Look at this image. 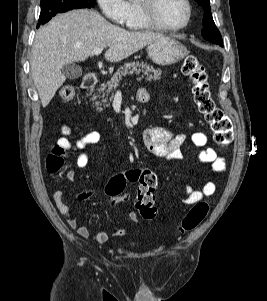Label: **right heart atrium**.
I'll use <instances>...</instances> for the list:
<instances>
[{
	"label": "right heart atrium",
	"instance_id": "d8ad5b80",
	"mask_svg": "<svg viewBox=\"0 0 267 301\" xmlns=\"http://www.w3.org/2000/svg\"><path fill=\"white\" fill-rule=\"evenodd\" d=\"M102 13L118 25H126L129 19L127 0H97Z\"/></svg>",
	"mask_w": 267,
	"mask_h": 301
}]
</instances>
